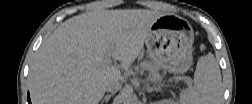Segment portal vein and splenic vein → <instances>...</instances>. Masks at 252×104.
I'll use <instances>...</instances> for the list:
<instances>
[{
    "label": "portal vein and splenic vein",
    "mask_w": 252,
    "mask_h": 104,
    "mask_svg": "<svg viewBox=\"0 0 252 104\" xmlns=\"http://www.w3.org/2000/svg\"><path fill=\"white\" fill-rule=\"evenodd\" d=\"M104 63L107 65H111L112 64V60H111V55L109 52L106 53L105 58H104ZM186 82L188 85L192 84V79L189 77H186Z\"/></svg>",
    "instance_id": "portal-vein-and-splenic-vein-1"
}]
</instances>
